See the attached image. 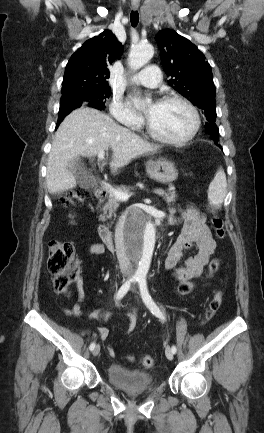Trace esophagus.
<instances>
[{"mask_svg": "<svg viewBox=\"0 0 264 433\" xmlns=\"http://www.w3.org/2000/svg\"><path fill=\"white\" fill-rule=\"evenodd\" d=\"M138 7H139V2H138V0H133V1H132V8H133L134 10H136V9H138Z\"/></svg>", "mask_w": 264, "mask_h": 433, "instance_id": "1", "label": "esophagus"}]
</instances>
